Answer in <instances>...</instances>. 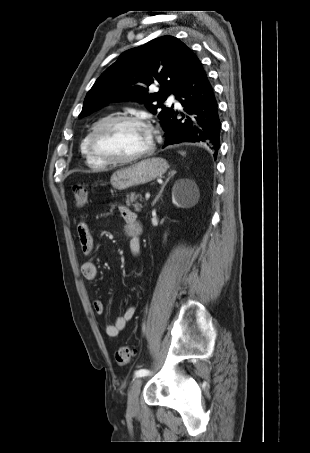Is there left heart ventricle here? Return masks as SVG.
Segmentation results:
<instances>
[{"instance_id": "1", "label": "left heart ventricle", "mask_w": 310, "mask_h": 453, "mask_svg": "<svg viewBox=\"0 0 310 453\" xmlns=\"http://www.w3.org/2000/svg\"><path fill=\"white\" fill-rule=\"evenodd\" d=\"M150 144L149 131L138 124L118 123L101 132L98 149L114 158H125L146 149Z\"/></svg>"}]
</instances>
